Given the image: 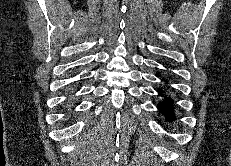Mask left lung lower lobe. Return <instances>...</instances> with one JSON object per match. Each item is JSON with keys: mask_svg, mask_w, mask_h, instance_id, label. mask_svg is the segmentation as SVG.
I'll return each mask as SVG.
<instances>
[{"mask_svg": "<svg viewBox=\"0 0 231 166\" xmlns=\"http://www.w3.org/2000/svg\"><path fill=\"white\" fill-rule=\"evenodd\" d=\"M167 82V81H166ZM158 94L164 98V100L158 103L157 108L158 110L166 116L168 121L175 120V114L173 111V103L170 97L167 99V96L164 91H158Z\"/></svg>", "mask_w": 231, "mask_h": 166, "instance_id": "1", "label": "left lung lower lobe"}]
</instances>
